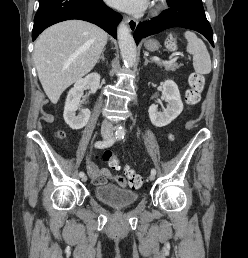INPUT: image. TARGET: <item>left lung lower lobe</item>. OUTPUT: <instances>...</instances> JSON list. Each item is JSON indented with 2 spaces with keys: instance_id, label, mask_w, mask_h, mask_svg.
Masks as SVG:
<instances>
[{
  "instance_id": "obj_1",
  "label": "left lung lower lobe",
  "mask_w": 248,
  "mask_h": 258,
  "mask_svg": "<svg viewBox=\"0 0 248 258\" xmlns=\"http://www.w3.org/2000/svg\"><path fill=\"white\" fill-rule=\"evenodd\" d=\"M169 9L163 11L157 18L139 23L134 39L136 44L149 35L159 33L172 27H182L195 30L204 35L214 47L212 28L207 21L202 1L184 0L168 2Z\"/></svg>"
}]
</instances>
